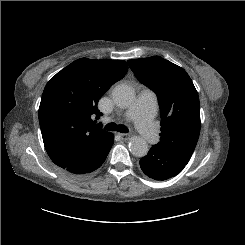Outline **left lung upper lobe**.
<instances>
[{"label": "left lung upper lobe", "mask_w": 245, "mask_h": 245, "mask_svg": "<svg viewBox=\"0 0 245 245\" xmlns=\"http://www.w3.org/2000/svg\"><path fill=\"white\" fill-rule=\"evenodd\" d=\"M136 78L158 97L160 142L155 145L187 164L200 133L199 96L187 72L160 56L128 60Z\"/></svg>", "instance_id": "obj_1"}]
</instances>
